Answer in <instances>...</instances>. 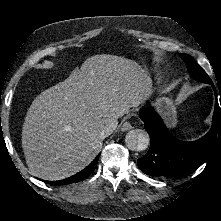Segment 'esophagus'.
<instances>
[{
    "mask_svg": "<svg viewBox=\"0 0 221 221\" xmlns=\"http://www.w3.org/2000/svg\"><path fill=\"white\" fill-rule=\"evenodd\" d=\"M132 128H133L132 125L129 122L126 121V122L123 123V125L121 127V130L122 131H129Z\"/></svg>",
    "mask_w": 221,
    "mask_h": 221,
    "instance_id": "esophagus-1",
    "label": "esophagus"
}]
</instances>
